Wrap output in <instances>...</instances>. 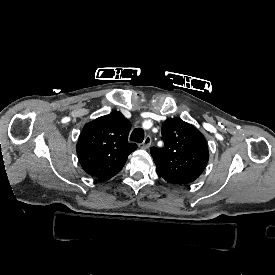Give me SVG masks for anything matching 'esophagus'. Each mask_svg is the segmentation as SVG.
I'll return each instance as SVG.
<instances>
[{
	"mask_svg": "<svg viewBox=\"0 0 275 275\" xmlns=\"http://www.w3.org/2000/svg\"><path fill=\"white\" fill-rule=\"evenodd\" d=\"M151 145V137L146 136L145 140L139 145V148L141 149H148Z\"/></svg>",
	"mask_w": 275,
	"mask_h": 275,
	"instance_id": "obj_1",
	"label": "esophagus"
}]
</instances>
